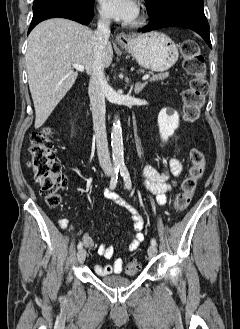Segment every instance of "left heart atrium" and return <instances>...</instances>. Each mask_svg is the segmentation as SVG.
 I'll return each mask as SVG.
<instances>
[{
  "mask_svg": "<svg viewBox=\"0 0 240 329\" xmlns=\"http://www.w3.org/2000/svg\"><path fill=\"white\" fill-rule=\"evenodd\" d=\"M102 13L117 21L131 22L138 15L136 0H99Z\"/></svg>",
  "mask_w": 240,
  "mask_h": 329,
  "instance_id": "left-heart-atrium-1",
  "label": "left heart atrium"
}]
</instances>
